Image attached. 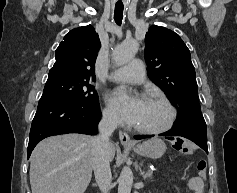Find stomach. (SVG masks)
<instances>
[{
    "instance_id": "stomach-1",
    "label": "stomach",
    "mask_w": 237,
    "mask_h": 193,
    "mask_svg": "<svg viewBox=\"0 0 237 193\" xmlns=\"http://www.w3.org/2000/svg\"><path fill=\"white\" fill-rule=\"evenodd\" d=\"M137 154L148 158H160L166 152V145L159 138H151L142 144L130 147Z\"/></svg>"
}]
</instances>
